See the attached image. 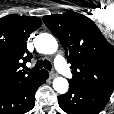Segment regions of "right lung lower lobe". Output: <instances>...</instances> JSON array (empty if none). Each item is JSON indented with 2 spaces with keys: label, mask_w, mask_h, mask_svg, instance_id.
Here are the masks:
<instances>
[{
  "label": "right lung lower lobe",
  "mask_w": 114,
  "mask_h": 114,
  "mask_svg": "<svg viewBox=\"0 0 114 114\" xmlns=\"http://www.w3.org/2000/svg\"><path fill=\"white\" fill-rule=\"evenodd\" d=\"M49 77L41 70L34 77L0 92V114H24L35 105V92Z\"/></svg>",
  "instance_id": "1"
}]
</instances>
